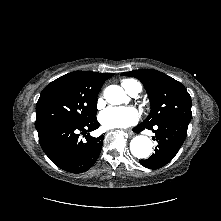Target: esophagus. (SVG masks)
I'll list each match as a JSON object with an SVG mask.
<instances>
[{"label": "esophagus", "instance_id": "1", "mask_svg": "<svg viewBox=\"0 0 221 221\" xmlns=\"http://www.w3.org/2000/svg\"><path fill=\"white\" fill-rule=\"evenodd\" d=\"M127 133H128V135H129L130 137H133V136H134V133H133L132 131H127Z\"/></svg>", "mask_w": 221, "mask_h": 221}]
</instances>
